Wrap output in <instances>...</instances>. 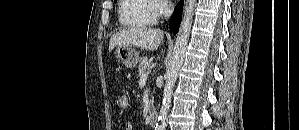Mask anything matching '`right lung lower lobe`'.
Segmentation results:
<instances>
[{
  "label": "right lung lower lobe",
  "mask_w": 299,
  "mask_h": 130,
  "mask_svg": "<svg viewBox=\"0 0 299 130\" xmlns=\"http://www.w3.org/2000/svg\"><path fill=\"white\" fill-rule=\"evenodd\" d=\"M183 4H184V0H180L179 3L177 4L174 14L171 17L170 20V24H169V28L172 30V32L174 34L177 33L178 28H179V24L181 22V18H182V10H183Z\"/></svg>",
  "instance_id": "obj_1"
}]
</instances>
